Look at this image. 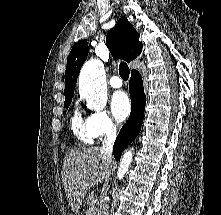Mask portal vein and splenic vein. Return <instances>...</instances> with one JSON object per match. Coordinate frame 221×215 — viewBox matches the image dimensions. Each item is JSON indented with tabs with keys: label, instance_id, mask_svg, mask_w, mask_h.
<instances>
[{
	"label": "portal vein and splenic vein",
	"instance_id": "portal-vein-and-splenic-vein-1",
	"mask_svg": "<svg viewBox=\"0 0 221 215\" xmlns=\"http://www.w3.org/2000/svg\"><path fill=\"white\" fill-rule=\"evenodd\" d=\"M96 211V208L94 206H91L88 211H87V215H93V213Z\"/></svg>",
	"mask_w": 221,
	"mask_h": 215
}]
</instances>
